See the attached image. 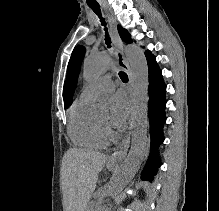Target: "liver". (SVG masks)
<instances>
[{
  "mask_svg": "<svg viewBox=\"0 0 219 211\" xmlns=\"http://www.w3.org/2000/svg\"><path fill=\"white\" fill-rule=\"evenodd\" d=\"M66 211H84L108 157L99 151L70 147L63 157Z\"/></svg>",
  "mask_w": 219,
  "mask_h": 211,
  "instance_id": "6515ba94",
  "label": "liver"
}]
</instances>
